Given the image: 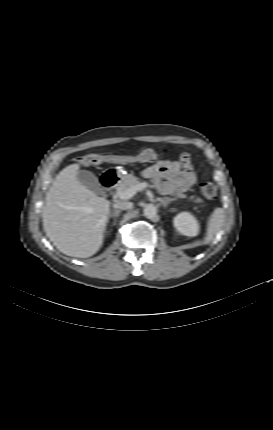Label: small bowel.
Here are the masks:
<instances>
[{"mask_svg":"<svg viewBox=\"0 0 273 430\" xmlns=\"http://www.w3.org/2000/svg\"><path fill=\"white\" fill-rule=\"evenodd\" d=\"M145 177L153 178L159 189L170 191H186L196 183L189 157L183 154L180 160H160L143 171Z\"/></svg>","mask_w":273,"mask_h":430,"instance_id":"small-bowel-1","label":"small bowel"}]
</instances>
